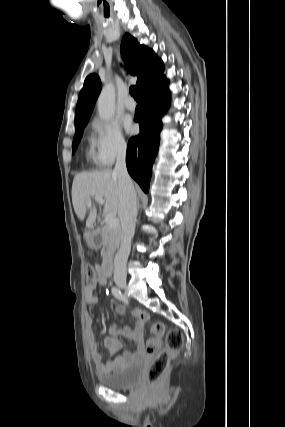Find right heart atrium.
Here are the masks:
<instances>
[{
    "label": "right heart atrium",
    "instance_id": "1",
    "mask_svg": "<svg viewBox=\"0 0 285 427\" xmlns=\"http://www.w3.org/2000/svg\"><path fill=\"white\" fill-rule=\"evenodd\" d=\"M91 127L94 152L101 164L110 165L127 152V141L116 122L96 119Z\"/></svg>",
    "mask_w": 285,
    "mask_h": 427
}]
</instances>
